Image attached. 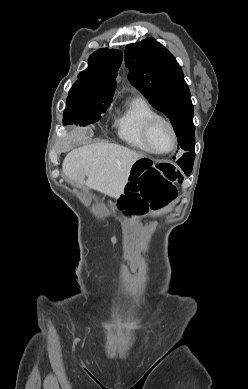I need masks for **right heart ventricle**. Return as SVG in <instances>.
<instances>
[{
	"label": "right heart ventricle",
	"mask_w": 248,
	"mask_h": 389,
	"mask_svg": "<svg viewBox=\"0 0 248 389\" xmlns=\"http://www.w3.org/2000/svg\"><path fill=\"white\" fill-rule=\"evenodd\" d=\"M155 115L157 113L144 98L130 99L114 120L119 138L131 147L149 152L142 137V130L146 121Z\"/></svg>",
	"instance_id": "obj_1"
}]
</instances>
